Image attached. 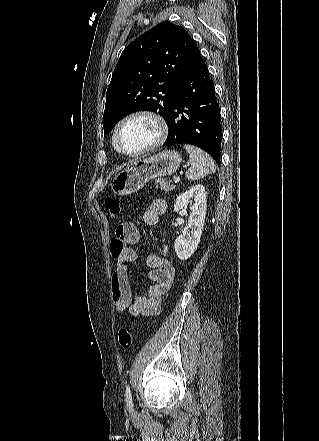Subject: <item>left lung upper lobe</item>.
Returning a JSON list of instances; mask_svg holds the SVG:
<instances>
[{
    "mask_svg": "<svg viewBox=\"0 0 319 441\" xmlns=\"http://www.w3.org/2000/svg\"><path fill=\"white\" fill-rule=\"evenodd\" d=\"M200 59L199 49L185 29L169 21L131 42L107 89L104 134L136 111L158 112L168 122L179 84Z\"/></svg>",
    "mask_w": 319,
    "mask_h": 441,
    "instance_id": "5c2ea615",
    "label": "left lung upper lobe"
}]
</instances>
